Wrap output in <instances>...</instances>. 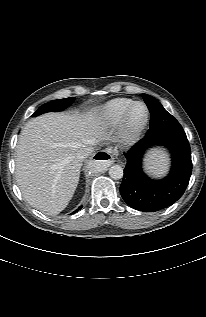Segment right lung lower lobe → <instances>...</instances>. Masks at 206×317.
Segmentation results:
<instances>
[{
  "mask_svg": "<svg viewBox=\"0 0 206 317\" xmlns=\"http://www.w3.org/2000/svg\"><path fill=\"white\" fill-rule=\"evenodd\" d=\"M82 208V206H80L76 211H74L73 213L77 212L78 210H80Z\"/></svg>",
  "mask_w": 206,
  "mask_h": 317,
  "instance_id": "obj_1",
  "label": "right lung lower lobe"
}]
</instances>
